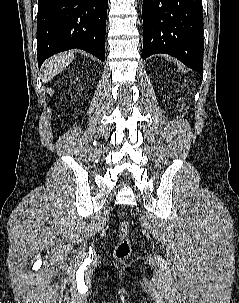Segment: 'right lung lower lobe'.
<instances>
[{
	"label": "right lung lower lobe",
	"mask_w": 239,
	"mask_h": 303,
	"mask_svg": "<svg viewBox=\"0 0 239 303\" xmlns=\"http://www.w3.org/2000/svg\"><path fill=\"white\" fill-rule=\"evenodd\" d=\"M108 0H38L37 58L77 48L105 60Z\"/></svg>",
	"instance_id": "1"
}]
</instances>
